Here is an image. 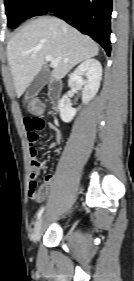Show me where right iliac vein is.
<instances>
[{
    "instance_id": "obj_1",
    "label": "right iliac vein",
    "mask_w": 134,
    "mask_h": 281,
    "mask_svg": "<svg viewBox=\"0 0 134 281\" xmlns=\"http://www.w3.org/2000/svg\"><path fill=\"white\" fill-rule=\"evenodd\" d=\"M42 227H43V217H41L35 225L33 238H34V241H36V242L39 241L41 238Z\"/></svg>"
}]
</instances>
